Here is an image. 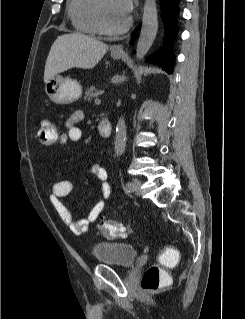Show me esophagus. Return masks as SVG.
Masks as SVG:
<instances>
[{"instance_id": "1", "label": "esophagus", "mask_w": 245, "mask_h": 319, "mask_svg": "<svg viewBox=\"0 0 245 319\" xmlns=\"http://www.w3.org/2000/svg\"><path fill=\"white\" fill-rule=\"evenodd\" d=\"M112 51H113V52H116V53H119V54H123V53L125 52L124 46L121 45V44L114 45V46L112 47Z\"/></svg>"}]
</instances>
